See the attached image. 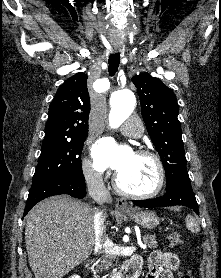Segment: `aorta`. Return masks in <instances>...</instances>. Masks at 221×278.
I'll return each mask as SVG.
<instances>
[{"label": "aorta", "mask_w": 221, "mask_h": 278, "mask_svg": "<svg viewBox=\"0 0 221 278\" xmlns=\"http://www.w3.org/2000/svg\"><path fill=\"white\" fill-rule=\"evenodd\" d=\"M110 103L109 124L111 128H117L134 111L136 99L134 93L126 89L115 92L111 96Z\"/></svg>", "instance_id": "762f6f07"}]
</instances>
